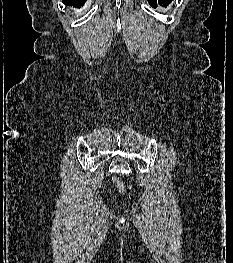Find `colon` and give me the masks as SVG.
Here are the masks:
<instances>
[{"label":"colon","mask_w":233,"mask_h":263,"mask_svg":"<svg viewBox=\"0 0 233 263\" xmlns=\"http://www.w3.org/2000/svg\"><path fill=\"white\" fill-rule=\"evenodd\" d=\"M116 182H117V186H118L119 190H120L122 193H126V189H125L124 185H123L120 181H118V180H116Z\"/></svg>","instance_id":"colon-1"}]
</instances>
